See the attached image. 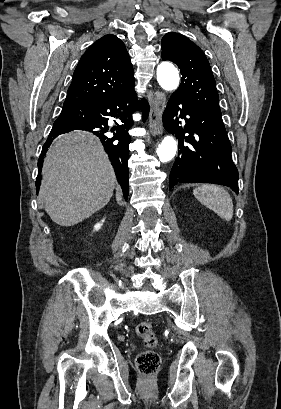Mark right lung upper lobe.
I'll return each instance as SVG.
<instances>
[{
    "instance_id": "obj_1",
    "label": "right lung upper lobe",
    "mask_w": 281,
    "mask_h": 409,
    "mask_svg": "<svg viewBox=\"0 0 281 409\" xmlns=\"http://www.w3.org/2000/svg\"><path fill=\"white\" fill-rule=\"evenodd\" d=\"M134 88L132 64L122 40L107 34L81 57L64 105L89 104Z\"/></svg>"
}]
</instances>
